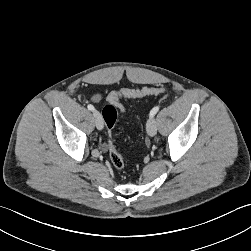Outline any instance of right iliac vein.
<instances>
[{"label":"right iliac vein","mask_w":251,"mask_h":251,"mask_svg":"<svg viewBox=\"0 0 251 251\" xmlns=\"http://www.w3.org/2000/svg\"><path fill=\"white\" fill-rule=\"evenodd\" d=\"M93 116H94V121H95L96 128L98 130H102L103 126H104V123H103V119H102L101 114L98 111L95 110L93 112Z\"/></svg>","instance_id":"right-iliac-vein-1"}]
</instances>
